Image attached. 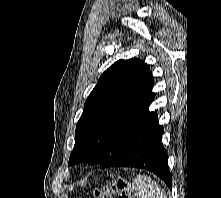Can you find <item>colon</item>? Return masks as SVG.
<instances>
[{
    "label": "colon",
    "instance_id": "5ec220e1",
    "mask_svg": "<svg viewBox=\"0 0 221 198\" xmlns=\"http://www.w3.org/2000/svg\"><path fill=\"white\" fill-rule=\"evenodd\" d=\"M94 198H133L130 183L126 178L118 177L112 182L96 188Z\"/></svg>",
    "mask_w": 221,
    "mask_h": 198
}]
</instances>
